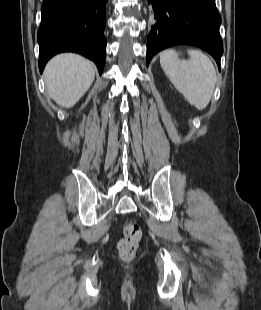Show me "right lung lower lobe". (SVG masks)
Listing matches in <instances>:
<instances>
[{
	"label": "right lung lower lobe",
	"mask_w": 261,
	"mask_h": 310,
	"mask_svg": "<svg viewBox=\"0 0 261 310\" xmlns=\"http://www.w3.org/2000/svg\"><path fill=\"white\" fill-rule=\"evenodd\" d=\"M107 0H44L38 30L39 69L60 52H76L93 60L101 74L105 65Z\"/></svg>",
	"instance_id": "98d812e1"
}]
</instances>
